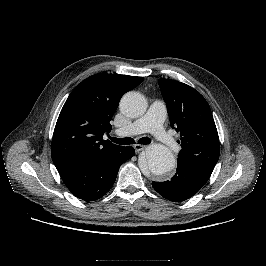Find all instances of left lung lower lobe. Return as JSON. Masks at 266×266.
I'll return each mask as SVG.
<instances>
[{
    "mask_svg": "<svg viewBox=\"0 0 266 266\" xmlns=\"http://www.w3.org/2000/svg\"><path fill=\"white\" fill-rule=\"evenodd\" d=\"M208 179L184 166L177 165V171L171 180L152 182V186L164 198L174 202H181L196 194Z\"/></svg>",
    "mask_w": 266,
    "mask_h": 266,
    "instance_id": "obj_1",
    "label": "left lung lower lobe"
}]
</instances>
